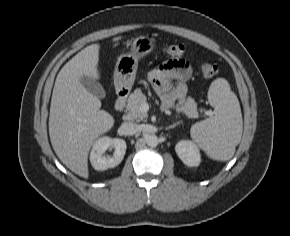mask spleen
<instances>
[{
  "instance_id": "3e777b00",
  "label": "spleen",
  "mask_w": 290,
  "mask_h": 236,
  "mask_svg": "<svg viewBox=\"0 0 290 236\" xmlns=\"http://www.w3.org/2000/svg\"><path fill=\"white\" fill-rule=\"evenodd\" d=\"M208 100L215 115L192 125L191 138L212 159L227 161L240 143L243 121L237 96L226 79L214 80Z\"/></svg>"
}]
</instances>
